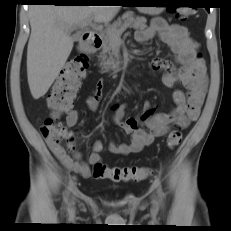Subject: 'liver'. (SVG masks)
<instances>
[{"mask_svg":"<svg viewBox=\"0 0 231 231\" xmlns=\"http://www.w3.org/2000/svg\"><path fill=\"white\" fill-rule=\"evenodd\" d=\"M118 11L119 6L33 5L29 8L27 76L34 99L47 93L65 65L74 43L70 31L87 20L111 21Z\"/></svg>","mask_w":231,"mask_h":231,"instance_id":"1","label":"liver"}]
</instances>
